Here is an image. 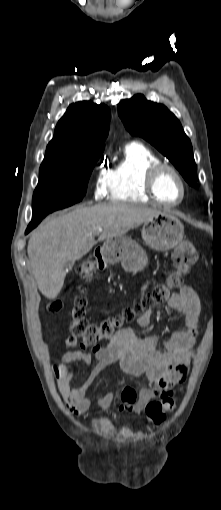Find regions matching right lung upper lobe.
Here are the masks:
<instances>
[{"label":"right lung upper lobe","instance_id":"right-lung-upper-lobe-1","mask_svg":"<svg viewBox=\"0 0 221 510\" xmlns=\"http://www.w3.org/2000/svg\"><path fill=\"white\" fill-rule=\"evenodd\" d=\"M109 121L110 109L104 104L97 105L91 101L71 104L56 125L44 160L104 149Z\"/></svg>","mask_w":221,"mask_h":510}]
</instances>
